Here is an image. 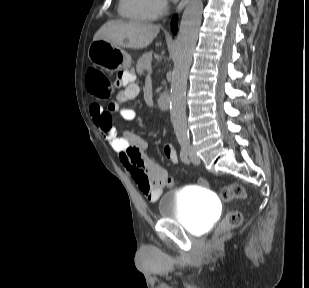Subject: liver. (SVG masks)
<instances>
[{
    "mask_svg": "<svg viewBox=\"0 0 309 288\" xmlns=\"http://www.w3.org/2000/svg\"><path fill=\"white\" fill-rule=\"evenodd\" d=\"M160 27L149 23L110 20L95 34L94 39H104L118 47L142 49L152 43Z\"/></svg>",
    "mask_w": 309,
    "mask_h": 288,
    "instance_id": "1",
    "label": "liver"
}]
</instances>
